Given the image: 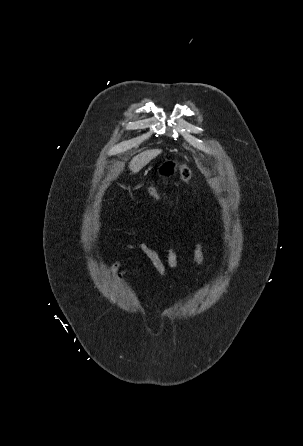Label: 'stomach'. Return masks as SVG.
<instances>
[{
  "label": "stomach",
  "instance_id": "0dacf381",
  "mask_svg": "<svg viewBox=\"0 0 303 446\" xmlns=\"http://www.w3.org/2000/svg\"><path fill=\"white\" fill-rule=\"evenodd\" d=\"M178 162L175 160H166L157 168V175L162 179H168L176 175Z\"/></svg>",
  "mask_w": 303,
  "mask_h": 446
}]
</instances>
